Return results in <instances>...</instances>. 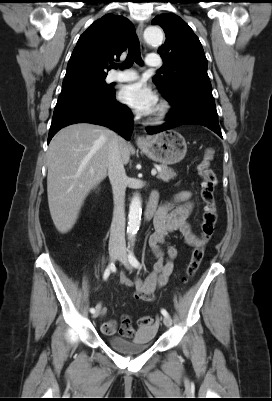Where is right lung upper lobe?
Listing matches in <instances>:
<instances>
[{
    "label": "right lung upper lobe",
    "instance_id": "cb5924a9",
    "mask_svg": "<svg viewBox=\"0 0 272 401\" xmlns=\"http://www.w3.org/2000/svg\"><path fill=\"white\" fill-rule=\"evenodd\" d=\"M134 32L125 17L106 14L80 36L67 65L62 90L104 80L108 68L126 50Z\"/></svg>",
    "mask_w": 272,
    "mask_h": 401
}]
</instances>
